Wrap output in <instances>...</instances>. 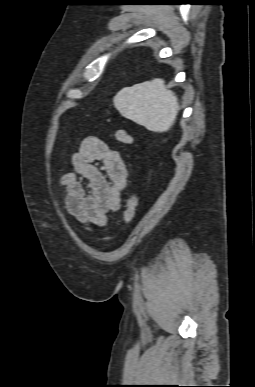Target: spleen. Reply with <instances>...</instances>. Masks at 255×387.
Wrapping results in <instances>:
<instances>
[{
    "mask_svg": "<svg viewBox=\"0 0 255 387\" xmlns=\"http://www.w3.org/2000/svg\"><path fill=\"white\" fill-rule=\"evenodd\" d=\"M113 103L123 117L154 132L169 130L179 111L176 95L158 78L121 89Z\"/></svg>",
    "mask_w": 255,
    "mask_h": 387,
    "instance_id": "spleen-1",
    "label": "spleen"
}]
</instances>
